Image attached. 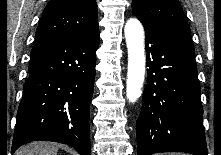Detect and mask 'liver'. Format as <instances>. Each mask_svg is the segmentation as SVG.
<instances>
[{
    "instance_id": "1",
    "label": "liver",
    "mask_w": 221,
    "mask_h": 155,
    "mask_svg": "<svg viewBox=\"0 0 221 155\" xmlns=\"http://www.w3.org/2000/svg\"><path fill=\"white\" fill-rule=\"evenodd\" d=\"M58 146L50 142H32L21 147L16 155H57Z\"/></svg>"
}]
</instances>
